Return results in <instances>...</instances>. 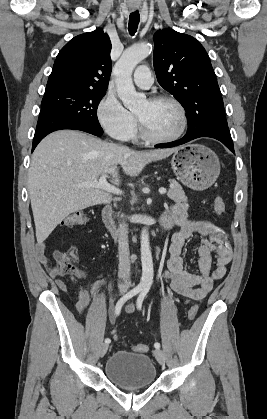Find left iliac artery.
Instances as JSON below:
<instances>
[{
  "mask_svg": "<svg viewBox=\"0 0 267 419\" xmlns=\"http://www.w3.org/2000/svg\"><path fill=\"white\" fill-rule=\"evenodd\" d=\"M148 291H149V288H148V287H144V288L142 289V291H141V293H140V295H139L138 299H137V308H138L139 310H141V309H142V303H143V300H144L145 296L147 295ZM154 347H155L156 349H159V348H160V343L156 342V343L154 344Z\"/></svg>",
  "mask_w": 267,
  "mask_h": 419,
  "instance_id": "1",
  "label": "left iliac artery"
}]
</instances>
